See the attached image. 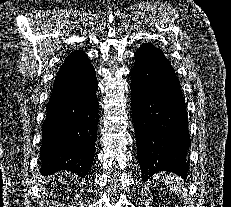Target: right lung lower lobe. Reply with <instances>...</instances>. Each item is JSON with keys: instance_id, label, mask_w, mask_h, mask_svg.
<instances>
[{"instance_id": "1", "label": "right lung lower lobe", "mask_w": 231, "mask_h": 207, "mask_svg": "<svg viewBox=\"0 0 231 207\" xmlns=\"http://www.w3.org/2000/svg\"><path fill=\"white\" fill-rule=\"evenodd\" d=\"M94 67L84 60L61 66L42 126L41 169L45 175L72 171L85 177L94 158L98 116Z\"/></svg>"}]
</instances>
